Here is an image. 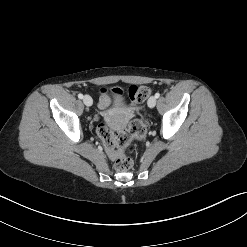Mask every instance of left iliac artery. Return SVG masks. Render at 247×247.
<instances>
[{
    "label": "left iliac artery",
    "instance_id": "1",
    "mask_svg": "<svg viewBox=\"0 0 247 247\" xmlns=\"http://www.w3.org/2000/svg\"><path fill=\"white\" fill-rule=\"evenodd\" d=\"M155 97H156V98H159V97H160V93L157 92V93L155 94Z\"/></svg>",
    "mask_w": 247,
    "mask_h": 247
}]
</instances>
